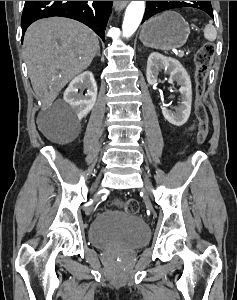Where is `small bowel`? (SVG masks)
<instances>
[{"label": "small bowel", "mask_w": 237, "mask_h": 300, "mask_svg": "<svg viewBox=\"0 0 237 300\" xmlns=\"http://www.w3.org/2000/svg\"><path fill=\"white\" fill-rule=\"evenodd\" d=\"M192 129H194V126H191V127L189 128V130H192Z\"/></svg>", "instance_id": "obj_1"}]
</instances>
